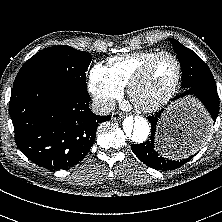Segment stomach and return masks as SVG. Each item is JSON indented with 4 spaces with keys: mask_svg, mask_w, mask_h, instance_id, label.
I'll return each mask as SVG.
<instances>
[{
    "mask_svg": "<svg viewBox=\"0 0 222 222\" xmlns=\"http://www.w3.org/2000/svg\"><path fill=\"white\" fill-rule=\"evenodd\" d=\"M207 118L203 108L192 99L182 100L174 104L166 111L160 122L159 149L172 158L187 156V151L181 148L178 143V137L191 126L204 123Z\"/></svg>",
    "mask_w": 222,
    "mask_h": 222,
    "instance_id": "1",
    "label": "stomach"
}]
</instances>
